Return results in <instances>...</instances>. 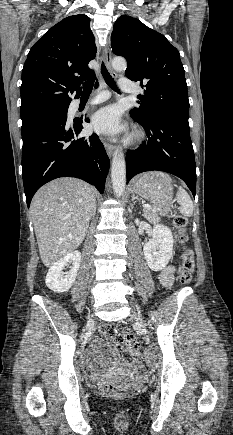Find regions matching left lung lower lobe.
Listing matches in <instances>:
<instances>
[{
    "mask_svg": "<svg viewBox=\"0 0 233 435\" xmlns=\"http://www.w3.org/2000/svg\"><path fill=\"white\" fill-rule=\"evenodd\" d=\"M134 120L144 128L148 141L127 152V183L141 172L164 171L181 178L195 197L196 164L188 120Z\"/></svg>",
    "mask_w": 233,
    "mask_h": 435,
    "instance_id": "left-lung-lower-lobe-1",
    "label": "left lung lower lobe"
}]
</instances>
